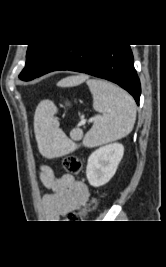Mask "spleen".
I'll use <instances>...</instances> for the list:
<instances>
[{"mask_svg":"<svg viewBox=\"0 0 166 267\" xmlns=\"http://www.w3.org/2000/svg\"><path fill=\"white\" fill-rule=\"evenodd\" d=\"M93 95V107L101 115L95 116L92 128L86 133L83 145L96 147L127 136L136 120L134 99L123 89L107 81L87 80ZM51 105L47 113L38 114L35 135L38 148L48 158L63 156L78 146L59 128Z\"/></svg>","mask_w":166,"mask_h":267,"instance_id":"1","label":"spleen"}]
</instances>
